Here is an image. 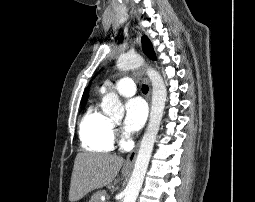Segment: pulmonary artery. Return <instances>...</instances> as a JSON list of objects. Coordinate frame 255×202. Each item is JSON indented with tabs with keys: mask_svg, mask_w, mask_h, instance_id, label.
I'll use <instances>...</instances> for the list:
<instances>
[{
	"mask_svg": "<svg viewBox=\"0 0 255 202\" xmlns=\"http://www.w3.org/2000/svg\"><path fill=\"white\" fill-rule=\"evenodd\" d=\"M115 90L121 96L131 97L136 92V86L134 81L129 77H124L116 81L115 83H107L101 88V92L105 93L108 90Z\"/></svg>",
	"mask_w": 255,
	"mask_h": 202,
	"instance_id": "e3ab8cb5",
	"label": "pulmonary artery"
}]
</instances>
